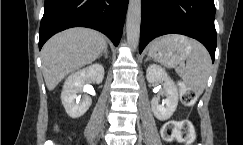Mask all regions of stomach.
<instances>
[{"label":"stomach","mask_w":243,"mask_h":145,"mask_svg":"<svg viewBox=\"0 0 243 145\" xmlns=\"http://www.w3.org/2000/svg\"><path fill=\"white\" fill-rule=\"evenodd\" d=\"M191 52L190 40L178 35L165 36L149 47V56L166 67L182 63Z\"/></svg>","instance_id":"stomach-1"}]
</instances>
